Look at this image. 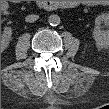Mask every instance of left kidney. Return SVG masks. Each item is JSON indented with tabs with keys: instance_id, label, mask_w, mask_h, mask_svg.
I'll return each mask as SVG.
<instances>
[{
	"instance_id": "1",
	"label": "left kidney",
	"mask_w": 109,
	"mask_h": 109,
	"mask_svg": "<svg viewBox=\"0 0 109 109\" xmlns=\"http://www.w3.org/2000/svg\"><path fill=\"white\" fill-rule=\"evenodd\" d=\"M101 24L105 27L109 25V15L104 13L96 17L93 38L98 46H106L109 43V30L102 29Z\"/></svg>"
}]
</instances>
